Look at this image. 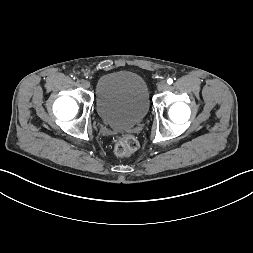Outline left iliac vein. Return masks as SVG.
<instances>
[{
    "instance_id": "obj_1",
    "label": "left iliac vein",
    "mask_w": 253,
    "mask_h": 253,
    "mask_svg": "<svg viewBox=\"0 0 253 253\" xmlns=\"http://www.w3.org/2000/svg\"><path fill=\"white\" fill-rule=\"evenodd\" d=\"M157 88H158L159 91H164L168 88V84L165 80H162L158 83Z\"/></svg>"
}]
</instances>
